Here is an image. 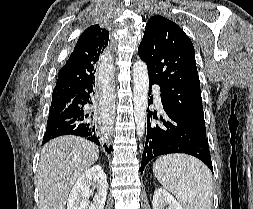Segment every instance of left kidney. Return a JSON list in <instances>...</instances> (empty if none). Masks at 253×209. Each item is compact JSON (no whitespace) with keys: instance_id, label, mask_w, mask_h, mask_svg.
<instances>
[{"instance_id":"1","label":"left kidney","mask_w":253,"mask_h":209,"mask_svg":"<svg viewBox=\"0 0 253 209\" xmlns=\"http://www.w3.org/2000/svg\"><path fill=\"white\" fill-rule=\"evenodd\" d=\"M152 206L153 209H183L177 200L163 188L155 190Z\"/></svg>"}]
</instances>
